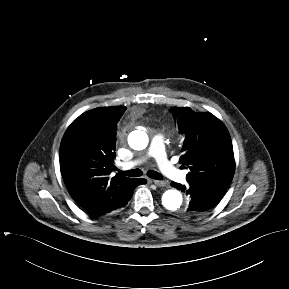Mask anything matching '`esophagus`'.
Instances as JSON below:
<instances>
[{"label": "esophagus", "instance_id": "34e87169", "mask_svg": "<svg viewBox=\"0 0 289 289\" xmlns=\"http://www.w3.org/2000/svg\"><path fill=\"white\" fill-rule=\"evenodd\" d=\"M152 182L157 185L158 187H164L166 186V182L161 181V180H152Z\"/></svg>", "mask_w": 289, "mask_h": 289}]
</instances>
